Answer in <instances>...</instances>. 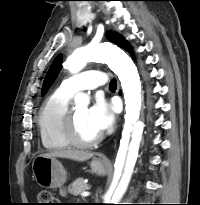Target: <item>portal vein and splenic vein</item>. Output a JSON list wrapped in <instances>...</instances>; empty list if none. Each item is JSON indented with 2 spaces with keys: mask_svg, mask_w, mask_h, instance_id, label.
Returning a JSON list of instances; mask_svg holds the SVG:
<instances>
[{
  "mask_svg": "<svg viewBox=\"0 0 200 205\" xmlns=\"http://www.w3.org/2000/svg\"><path fill=\"white\" fill-rule=\"evenodd\" d=\"M90 195V192H88V191H83L82 193H81V196L82 197H87V196H89Z\"/></svg>",
  "mask_w": 200,
  "mask_h": 205,
  "instance_id": "18ae733b",
  "label": "portal vein and splenic vein"
}]
</instances>
